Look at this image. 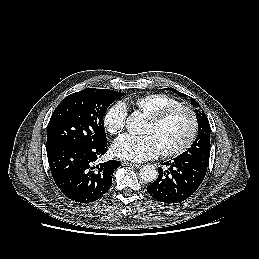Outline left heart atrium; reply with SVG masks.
<instances>
[{
	"instance_id": "39dd6f15",
	"label": "left heart atrium",
	"mask_w": 259,
	"mask_h": 259,
	"mask_svg": "<svg viewBox=\"0 0 259 259\" xmlns=\"http://www.w3.org/2000/svg\"><path fill=\"white\" fill-rule=\"evenodd\" d=\"M113 154L123 160L131 162H142L155 157L159 150L148 135L131 136L124 135L118 138L112 145Z\"/></svg>"
}]
</instances>
